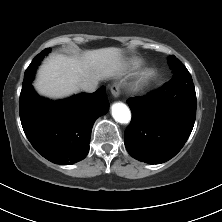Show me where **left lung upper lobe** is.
Returning <instances> with one entry per match:
<instances>
[{
    "label": "left lung upper lobe",
    "mask_w": 222,
    "mask_h": 222,
    "mask_svg": "<svg viewBox=\"0 0 222 222\" xmlns=\"http://www.w3.org/2000/svg\"><path fill=\"white\" fill-rule=\"evenodd\" d=\"M169 65L174 72V76L182 73H189L186 67L175 56L169 57Z\"/></svg>",
    "instance_id": "obj_1"
}]
</instances>
